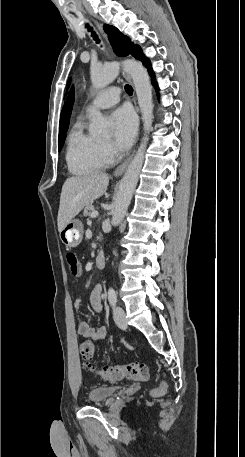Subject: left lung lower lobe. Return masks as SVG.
<instances>
[{
	"label": "left lung lower lobe",
	"mask_w": 245,
	"mask_h": 457,
	"mask_svg": "<svg viewBox=\"0 0 245 457\" xmlns=\"http://www.w3.org/2000/svg\"><path fill=\"white\" fill-rule=\"evenodd\" d=\"M140 61H142L143 65L148 68V71H149V73H150V75L152 77V84L156 88V91H157V94H158V86H157V84H156V82L154 80V73L152 71L150 61L146 57H143L142 59H140Z\"/></svg>",
	"instance_id": "0a47b994"
}]
</instances>
